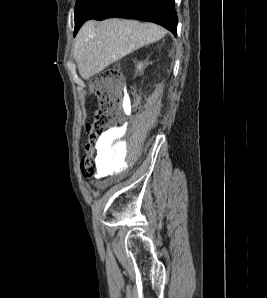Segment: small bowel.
Here are the masks:
<instances>
[{"label":"small bowel","mask_w":267,"mask_h":298,"mask_svg":"<svg viewBox=\"0 0 267 298\" xmlns=\"http://www.w3.org/2000/svg\"><path fill=\"white\" fill-rule=\"evenodd\" d=\"M118 136V131L116 130H111L108 133H106L105 138L108 142H112L115 140V138Z\"/></svg>","instance_id":"1"}]
</instances>
